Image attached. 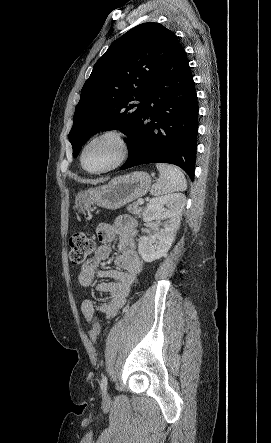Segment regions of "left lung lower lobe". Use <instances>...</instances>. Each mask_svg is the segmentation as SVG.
I'll list each match as a JSON object with an SVG mask.
<instances>
[{
  "instance_id": "obj_1",
  "label": "left lung lower lobe",
  "mask_w": 271,
  "mask_h": 443,
  "mask_svg": "<svg viewBox=\"0 0 271 443\" xmlns=\"http://www.w3.org/2000/svg\"><path fill=\"white\" fill-rule=\"evenodd\" d=\"M188 62L179 45L153 77L142 118L127 145L129 157L121 170L162 162L181 167L194 179L198 103Z\"/></svg>"
}]
</instances>
